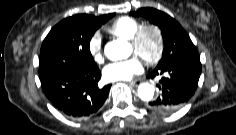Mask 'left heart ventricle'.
Instances as JSON below:
<instances>
[{
    "instance_id": "b2bd125f",
    "label": "left heart ventricle",
    "mask_w": 236,
    "mask_h": 135,
    "mask_svg": "<svg viewBox=\"0 0 236 135\" xmlns=\"http://www.w3.org/2000/svg\"><path fill=\"white\" fill-rule=\"evenodd\" d=\"M156 46L157 42L154 34L149 33L143 45V53L146 55H152L156 50Z\"/></svg>"
}]
</instances>
